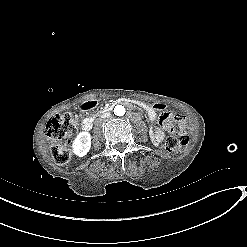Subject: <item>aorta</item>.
<instances>
[{
	"mask_svg": "<svg viewBox=\"0 0 247 247\" xmlns=\"http://www.w3.org/2000/svg\"><path fill=\"white\" fill-rule=\"evenodd\" d=\"M125 108L122 105H117L114 108V114L117 116H123L125 114Z\"/></svg>",
	"mask_w": 247,
	"mask_h": 247,
	"instance_id": "1",
	"label": "aorta"
}]
</instances>
